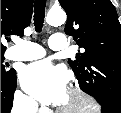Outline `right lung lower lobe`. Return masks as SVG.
<instances>
[{
  "label": "right lung lower lobe",
  "mask_w": 121,
  "mask_h": 113,
  "mask_svg": "<svg viewBox=\"0 0 121 113\" xmlns=\"http://www.w3.org/2000/svg\"><path fill=\"white\" fill-rule=\"evenodd\" d=\"M15 89L16 71L11 69L8 74L1 76V113H10Z\"/></svg>",
  "instance_id": "1"
}]
</instances>
